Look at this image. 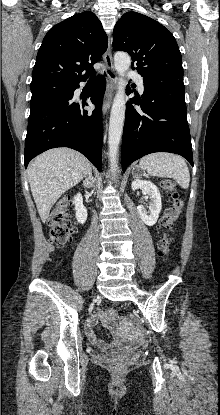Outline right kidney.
Here are the masks:
<instances>
[{
	"mask_svg": "<svg viewBox=\"0 0 220 415\" xmlns=\"http://www.w3.org/2000/svg\"><path fill=\"white\" fill-rule=\"evenodd\" d=\"M73 203L75 204L76 219L79 223H85L87 219V209L83 205V198L81 194H77L74 197Z\"/></svg>",
	"mask_w": 220,
	"mask_h": 415,
	"instance_id": "right-kidney-1",
	"label": "right kidney"
}]
</instances>
